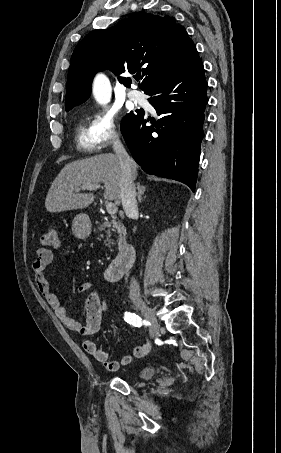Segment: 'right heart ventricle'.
<instances>
[{
	"mask_svg": "<svg viewBox=\"0 0 281 453\" xmlns=\"http://www.w3.org/2000/svg\"><path fill=\"white\" fill-rule=\"evenodd\" d=\"M87 118H81L76 129V146L79 152L93 154L100 149V143L95 137L92 128L87 124Z\"/></svg>",
	"mask_w": 281,
	"mask_h": 453,
	"instance_id": "obj_1",
	"label": "right heart ventricle"
}]
</instances>
